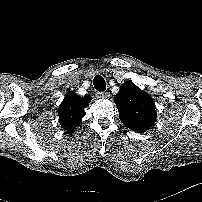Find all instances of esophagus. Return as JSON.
<instances>
[{
  "instance_id": "obj_1",
  "label": "esophagus",
  "mask_w": 202,
  "mask_h": 202,
  "mask_svg": "<svg viewBox=\"0 0 202 202\" xmlns=\"http://www.w3.org/2000/svg\"><path fill=\"white\" fill-rule=\"evenodd\" d=\"M95 96H96L97 98H104V97H108L109 94L106 93V92L97 91V92L95 93Z\"/></svg>"
}]
</instances>
